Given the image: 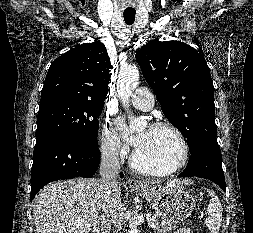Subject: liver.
Returning <instances> with one entry per match:
<instances>
[{
  "mask_svg": "<svg viewBox=\"0 0 253 233\" xmlns=\"http://www.w3.org/2000/svg\"><path fill=\"white\" fill-rule=\"evenodd\" d=\"M168 185L183 182L170 181ZM101 180L79 178L47 185L33 201L37 233H89L101 210ZM120 187V185H119Z\"/></svg>",
  "mask_w": 253,
  "mask_h": 233,
  "instance_id": "liver-1",
  "label": "liver"
}]
</instances>
